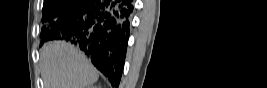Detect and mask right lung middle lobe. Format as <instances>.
I'll return each instance as SVG.
<instances>
[{
	"label": "right lung middle lobe",
	"instance_id": "dd1d6c3e",
	"mask_svg": "<svg viewBox=\"0 0 267 88\" xmlns=\"http://www.w3.org/2000/svg\"><path fill=\"white\" fill-rule=\"evenodd\" d=\"M76 1L77 0H45L42 23H49V21L56 19L59 14L74 5ZM46 37H48V34L43 30L41 32V44L45 41Z\"/></svg>",
	"mask_w": 267,
	"mask_h": 88
}]
</instances>
